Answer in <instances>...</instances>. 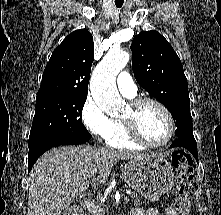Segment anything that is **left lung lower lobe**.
<instances>
[{
	"instance_id": "obj_1",
	"label": "left lung lower lobe",
	"mask_w": 221,
	"mask_h": 215,
	"mask_svg": "<svg viewBox=\"0 0 221 215\" xmlns=\"http://www.w3.org/2000/svg\"><path fill=\"white\" fill-rule=\"evenodd\" d=\"M170 147H183L191 152L198 161L197 144L194 137H181L174 141Z\"/></svg>"
}]
</instances>
